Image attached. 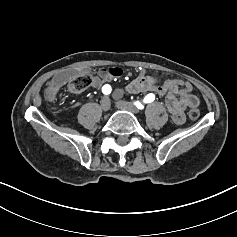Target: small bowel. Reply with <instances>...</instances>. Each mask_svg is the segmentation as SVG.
<instances>
[{"mask_svg":"<svg viewBox=\"0 0 237 237\" xmlns=\"http://www.w3.org/2000/svg\"><path fill=\"white\" fill-rule=\"evenodd\" d=\"M88 71L87 67H79L59 72L50 84L48 99L53 101L61 87L75 75L87 73ZM122 74L123 70L120 67L111 66L103 68L92 78L91 87H103L108 82L121 77ZM192 90L193 86L188 81L161 79L157 75H148L144 70H141L139 75L126 86V91L130 93L150 91L164 97L166 108L171 114L174 123L178 125L185 122L186 109L197 107L199 104L198 98L191 93ZM115 94L119 97L123 94V91L118 90Z\"/></svg>","mask_w":237,"mask_h":237,"instance_id":"obj_1","label":"small bowel"}]
</instances>
